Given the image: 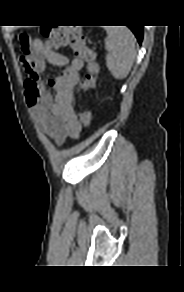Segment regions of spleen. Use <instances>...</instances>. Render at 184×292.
<instances>
[{
	"label": "spleen",
	"instance_id": "spleen-1",
	"mask_svg": "<svg viewBox=\"0 0 184 292\" xmlns=\"http://www.w3.org/2000/svg\"><path fill=\"white\" fill-rule=\"evenodd\" d=\"M106 65L115 79H125L136 57L135 37L126 27L106 28Z\"/></svg>",
	"mask_w": 184,
	"mask_h": 292
}]
</instances>
